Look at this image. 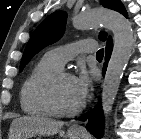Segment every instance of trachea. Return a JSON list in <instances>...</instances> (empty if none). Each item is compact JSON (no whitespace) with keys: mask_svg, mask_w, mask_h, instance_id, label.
<instances>
[{"mask_svg":"<svg viewBox=\"0 0 141 139\" xmlns=\"http://www.w3.org/2000/svg\"><path fill=\"white\" fill-rule=\"evenodd\" d=\"M104 56V49H100L97 53H96V57L97 58H103Z\"/></svg>","mask_w":141,"mask_h":139,"instance_id":"obj_1","label":"trachea"}]
</instances>
